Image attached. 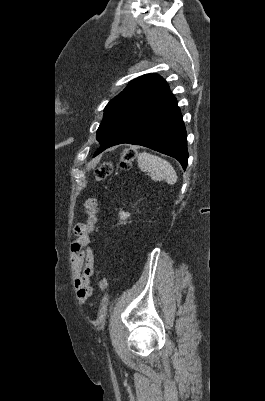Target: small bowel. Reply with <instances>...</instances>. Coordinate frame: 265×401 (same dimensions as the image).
Instances as JSON below:
<instances>
[{
    "label": "small bowel",
    "instance_id": "c3829d8e",
    "mask_svg": "<svg viewBox=\"0 0 265 401\" xmlns=\"http://www.w3.org/2000/svg\"><path fill=\"white\" fill-rule=\"evenodd\" d=\"M83 206L86 221L78 223L74 227L76 239L71 245V252L77 296L84 303L94 293V289L90 284V279L94 274V254L89 248V244L91 233L94 231L98 220V201L95 198H89L84 202Z\"/></svg>",
    "mask_w": 265,
    "mask_h": 401
}]
</instances>
